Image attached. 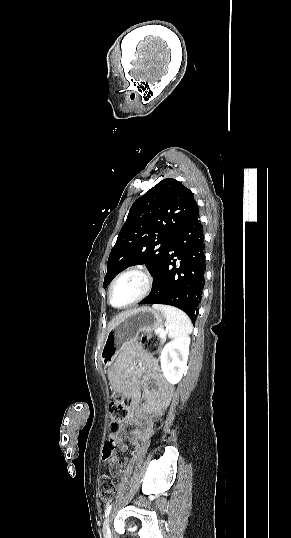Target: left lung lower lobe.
Segmentation results:
<instances>
[{
	"instance_id": "obj_1",
	"label": "left lung lower lobe",
	"mask_w": 291,
	"mask_h": 538,
	"mask_svg": "<svg viewBox=\"0 0 291 538\" xmlns=\"http://www.w3.org/2000/svg\"><path fill=\"white\" fill-rule=\"evenodd\" d=\"M205 270L204 237L197 211L174 236L154 274L156 282L151 293L139 304L172 305L186 312L194 322Z\"/></svg>"
}]
</instances>
